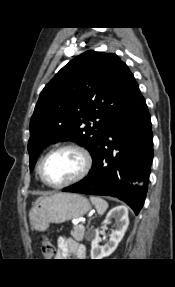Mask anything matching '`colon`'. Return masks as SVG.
Masks as SVG:
<instances>
[{
	"label": "colon",
	"mask_w": 175,
	"mask_h": 287,
	"mask_svg": "<svg viewBox=\"0 0 175 287\" xmlns=\"http://www.w3.org/2000/svg\"><path fill=\"white\" fill-rule=\"evenodd\" d=\"M41 252L44 259L49 260L54 255V246L48 238H44L41 241Z\"/></svg>",
	"instance_id": "5ec220e1"
}]
</instances>
